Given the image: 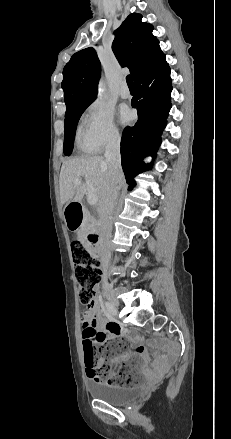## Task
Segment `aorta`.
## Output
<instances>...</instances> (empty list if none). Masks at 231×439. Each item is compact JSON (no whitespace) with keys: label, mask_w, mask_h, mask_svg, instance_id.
<instances>
[{"label":"aorta","mask_w":231,"mask_h":439,"mask_svg":"<svg viewBox=\"0 0 231 439\" xmlns=\"http://www.w3.org/2000/svg\"><path fill=\"white\" fill-rule=\"evenodd\" d=\"M105 91H106L105 84L101 81L100 84H99L98 97L102 98L104 96V94H105Z\"/></svg>","instance_id":"aorta-1"}]
</instances>
